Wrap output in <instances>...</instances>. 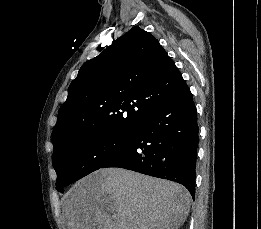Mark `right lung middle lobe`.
<instances>
[{"label": "right lung middle lobe", "mask_w": 261, "mask_h": 229, "mask_svg": "<svg viewBox=\"0 0 261 229\" xmlns=\"http://www.w3.org/2000/svg\"><path fill=\"white\" fill-rule=\"evenodd\" d=\"M134 135L85 132L61 143L52 156L57 172L56 189L64 192L67 185L102 168L129 147Z\"/></svg>", "instance_id": "1"}]
</instances>
